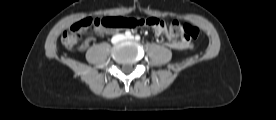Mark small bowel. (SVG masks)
Instances as JSON below:
<instances>
[{
    "mask_svg": "<svg viewBox=\"0 0 276 120\" xmlns=\"http://www.w3.org/2000/svg\"><path fill=\"white\" fill-rule=\"evenodd\" d=\"M155 33L157 35H165L168 40V46L174 49H188L190 47V44L185 40H177L175 39L168 31L164 24V22H161L159 25L154 27ZM90 38L86 39L81 45L80 49L84 50L90 43Z\"/></svg>",
    "mask_w": 276,
    "mask_h": 120,
    "instance_id": "small-bowel-1",
    "label": "small bowel"
}]
</instances>
